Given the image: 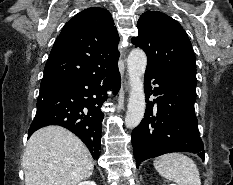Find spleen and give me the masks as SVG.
<instances>
[{
  "label": "spleen",
  "mask_w": 233,
  "mask_h": 185,
  "mask_svg": "<svg viewBox=\"0 0 233 185\" xmlns=\"http://www.w3.org/2000/svg\"><path fill=\"white\" fill-rule=\"evenodd\" d=\"M157 172L175 185H201L200 173L195 162L181 153L165 154L153 162Z\"/></svg>",
  "instance_id": "obj_1"
}]
</instances>
